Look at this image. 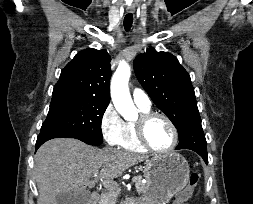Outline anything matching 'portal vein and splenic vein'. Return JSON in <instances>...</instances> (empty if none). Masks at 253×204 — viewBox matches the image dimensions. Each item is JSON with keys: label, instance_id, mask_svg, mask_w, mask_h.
I'll list each match as a JSON object with an SVG mask.
<instances>
[{"label": "portal vein and splenic vein", "instance_id": "obj_1", "mask_svg": "<svg viewBox=\"0 0 253 204\" xmlns=\"http://www.w3.org/2000/svg\"><path fill=\"white\" fill-rule=\"evenodd\" d=\"M98 175V172H95L94 173V177H96ZM138 181V177L137 176H134L133 178H132V182H137Z\"/></svg>", "mask_w": 253, "mask_h": 204}]
</instances>
